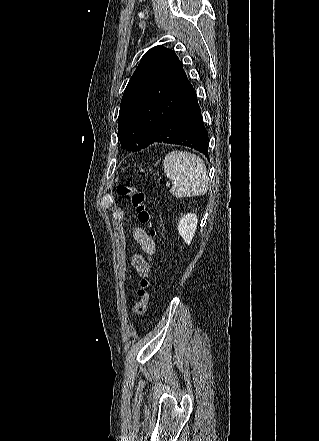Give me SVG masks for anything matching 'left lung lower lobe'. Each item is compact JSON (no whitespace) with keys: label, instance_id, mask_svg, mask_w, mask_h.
I'll return each mask as SVG.
<instances>
[{"label":"left lung lower lobe","instance_id":"1","mask_svg":"<svg viewBox=\"0 0 319 441\" xmlns=\"http://www.w3.org/2000/svg\"><path fill=\"white\" fill-rule=\"evenodd\" d=\"M154 142L187 146L209 158L208 133L192 85L178 106L157 129L151 144Z\"/></svg>","mask_w":319,"mask_h":441}]
</instances>
